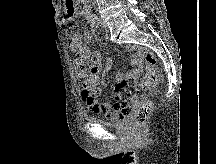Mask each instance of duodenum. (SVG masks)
Wrapping results in <instances>:
<instances>
[{"mask_svg":"<svg viewBox=\"0 0 216 164\" xmlns=\"http://www.w3.org/2000/svg\"><path fill=\"white\" fill-rule=\"evenodd\" d=\"M86 12H87V15L90 17V10H89L88 7H87V9H86Z\"/></svg>","mask_w":216,"mask_h":164,"instance_id":"obj_1","label":"duodenum"}]
</instances>
